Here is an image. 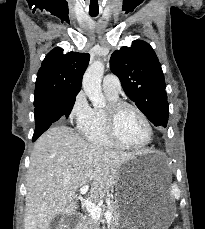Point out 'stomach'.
<instances>
[{"label": "stomach", "instance_id": "1", "mask_svg": "<svg viewBox=\"0 0 205 229\" xmlns=\"http://www.w3.org/2000/svg\"><path fill=\"white\" fill-rule=\"evenodd\" d=\"M149 156V152H142L126 162L118 173V229H168L174 220L173 205L163 203L159 197L158 203L151 204L136 191L143 173L142 158Z\"/></svg>", "mask_w": 205, "mask_h": 229}]
</instances>
